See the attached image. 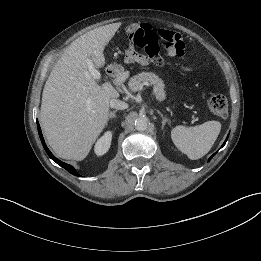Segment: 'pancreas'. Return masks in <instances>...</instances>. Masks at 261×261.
<instances>
[{
  "label": "pancreas",
  "instance_id": "obj_1",
  "mask_svg": "<svg viewBox=\"0 0 261 261\" xmlns=\"http://www.w3.org/2000/svg\"><path fill=\"white\" fill-rule=\"evenodd\" d=\"M146 81L153 85V92L156 99L163 100L166 96L164 83L157 75L151 72H142L133 76L129 81V87L133 92L138 91Z\"/></svg>",
  "mask_w": 261,
  "mask_h": 261
}]
</instances>
